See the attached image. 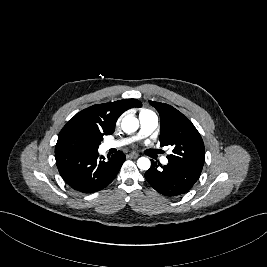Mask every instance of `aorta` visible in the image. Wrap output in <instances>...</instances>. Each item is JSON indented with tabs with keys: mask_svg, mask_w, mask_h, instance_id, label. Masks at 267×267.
<instances>
[{
	"mask_svg": "<svg viewBox=\"0 0 267 267\" xmlns=\"http://www.w3.org/2000/svg\"><path fill=\"white\" fill-rule=\"evenodd\" d=\"M121 127L125 133H132L139 128V121L137 118L127 115L122 119ZM137 166L141 170H148L151 166V162L147 157H140L137 160Z\"/></svg>",
	"mask_w": 267,
	"mask_h": 267,
	"instance_id": "aorta-1",
	"label": "aorta"
}]
</instances>
